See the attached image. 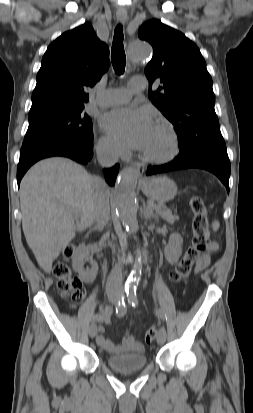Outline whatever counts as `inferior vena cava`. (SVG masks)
Segmentation results:
<instances>
[{
    "instance_id": "obj_1",
    "label": "inferior vena cava",
    "mask_w": 253,
    "mask_h": 413,
    "mask_svg": "<svg viewBox=\"0 0 253 413\" xmlns=\"http://www.w3.org/2000/svg\"><path fill=\"white\" fill-rule=\"evenodd\" d=\"M97 159L102 167H111L118 160V151L111 145H104L97 149ZM109 191L103 179L97 178L95 184V205H94V219L97 226L103 227L109 220ZM122 269L116 265L112 270L107 283L106 291L108 293L113 291H120L122 288Z\"/></svg>"
}]
</instances>
